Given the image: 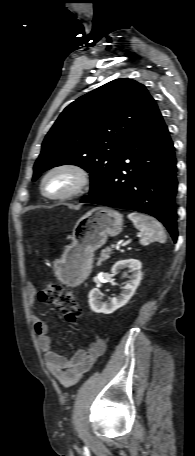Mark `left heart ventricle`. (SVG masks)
<instances>
[{"label": "left heart ventricle", "instance_id": "left-heart-ventricle-1", "mask_svg": "<svg viewBox=\"0 0 195 456\" xmlns=\"http://www.w3.org/2000/svg\"><path fill=\"white\" fill-rule=\"evenodd\" d=\"M76 182L77 178L72 172L59 171L48 177L45 187L49 194L60 195L70 191Z\"/></svg>", "mask_w": 195, "mask_h": 456}]
</instances>
